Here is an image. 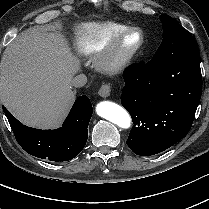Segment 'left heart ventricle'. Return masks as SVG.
I'll return each mask as SVG.
<instances>
[{
	"instance_id": "obj_1",
	"label": "left heart ventricle",
	"mask_w": 209,
	"mask_h": 209,
	"mask_svg": "<svg viewBox=\"0 0 209 209\" xmlns=\"http://www.w3.org/2000/svg\"><path fill=\"white\" fill-rule=\"evenodd\" d=\"M140 40V36L139 34H131L128 37H126L122 44H121V50L122 51H128L130 49H132L133 47H135L137 45V43Z\"/></svg>"
}]
</instances>
